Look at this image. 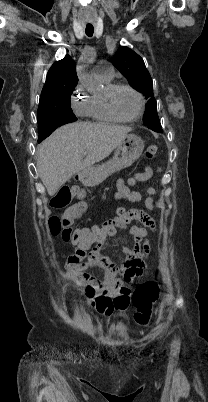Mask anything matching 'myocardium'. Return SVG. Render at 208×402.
I'll use <instances>...</instances> for the list:
<instances>
[{
	"label": "myocardium",
	"instance_id": "f54148a6",
	"mask_svg": "<svg viewBox=\"0 0 208 402\" xmlns=\"http://www.w3.org/2000/svg\"><path fill=\"white\" fill-rule=\"evenodd\" d=\"M120 89H128L131 92H133L139 98V101H140L139 112L134 117L126 118V117H123L122 115H120L117 112V110L115 108V105H114V98H115L116 93ZM106 101H107V106H108V109H109L110 113L117 120H119L121 122H133V121L138 120L143 115V112H144V109H145V99H144V96L142 95V93H140L138 90H136L132 86L125 85V84H118V85H114L113 87H111L106 93Z\"/></svg>",
	"mask_w": 208,
	"mask_h": 402
}]
</instances>
